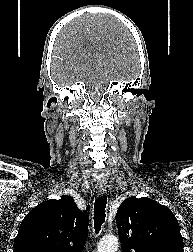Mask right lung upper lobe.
<instances>
[{
  "mask_svg": "<svg viewBox=\"0 0 193 252\" xmlns=\"http://www.w3.org/2000/svg\"><path fill=\"white\" fill-rule=\"evenodd\" d=\"M87 210H79L71 196L51 199L23 219L14 252H81L87 240Z\"/></svg>",
  "mask_w": 193,
  "mask_h": 252,
  "instance_id": "1",
  "label": "right lung upper lobe"
}]
</instances>
